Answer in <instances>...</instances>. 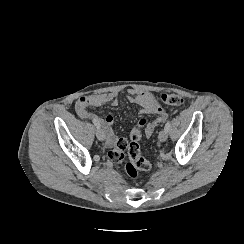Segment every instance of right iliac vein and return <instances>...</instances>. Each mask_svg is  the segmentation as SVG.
<instances>
[{"mask_svg": "<svg viewBox=\"0 0 244 244\" xmlns=\"http://www.w3.org/2000/svg\"><path fill=\"white\" fill-rule=\"evenodd\" d=\"M96 136L100 141H103L105 139V133L102 129L98 128L96 130Z\"/></svg>", "mask_w": 244, "mask_h": 244, "instance_id": "1", "label": "right iliac vein"}]
</instances>
